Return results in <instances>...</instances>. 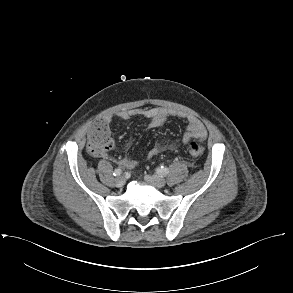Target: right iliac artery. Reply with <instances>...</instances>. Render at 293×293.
<instances>
[{"label": "right iliac artery", "instance_id": "1", "mask_svg": "<svg viewBox=\"0 0 293 293\" xmlns=\"http://www.w3.org/2000/svg\"><path fill=\"white\" fill-rule=\"evenodd\" d=\"M121 173H122V170L120 168H117V169L114 170L113 175L114 176H119V175H121Z\"/></svg>", "mask_w": 293, "mask_h": 293}]
</instances>
